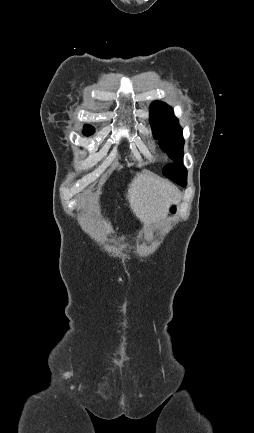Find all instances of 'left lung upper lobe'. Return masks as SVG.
<instances>
[{"label":"left lung upper lobe","instance_id":"5c2ea615","mask_svg":"<svg viewBox=\"0 0 254 433\" xmlns=\"http://www.w3.org/2000/svg\"><path fill=\"white\" fill-rule=\"evenodd\" d=\"M150 120L153 136L159 139L162 149L173 159V163L163 169V174L185 187L187 171L182 165L184 139L172 108L159 101L153 102L150 107Z\"/></svg>","mask_w":254,"mask_h":433}]
</instances>
